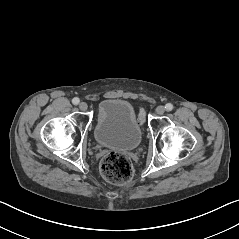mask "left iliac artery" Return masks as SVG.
<instances>
[{
	"instance_id": "44dca946",
	"label": "left iliac artery",
	"mask_w": 239,
	"mask_h": 239,
	"mask_svg": "<svg viewBox=\"0 0 239 239\" xmlns=\"http://www.w3.org/2000/svg\"><path fill=\"white\" fill-rule=\"evenodd\" d=\"M165 109H166V111H172L173 105H172L171 103H167V104L165 105Z\"/></svg>"
}]
</instances>
